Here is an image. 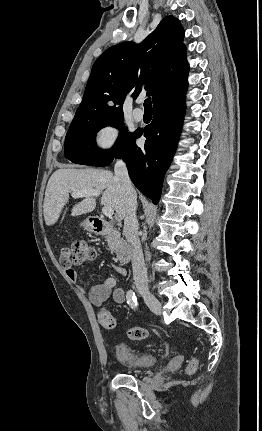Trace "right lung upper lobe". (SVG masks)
<instances>
[{
  "mask_svg": "<svg viewBox=\"0 0 262 431\" xmlns=\"http://www.w3.org/2000/svg\"><path fill=\"white\" fill-rule=\"evenodd\" d=\"M184 30L176 18L165 17L141 44L127 41L107 49L94 63L82 103L73 120L123 116L127 93L142 86L154 106L187 90L189 66Z\"/></svg>",
  "mask_w": 262,
  "mask_h": 431,
  "instance_id": "right-lung-upper-lobe-1",
  "label": "right lung upper lobe"
}]
</instances>
